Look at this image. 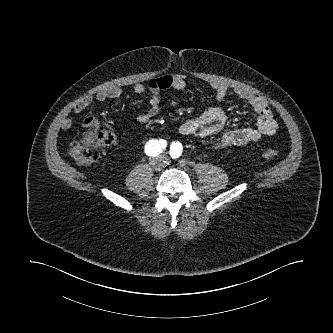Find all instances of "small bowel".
<instances>
[{
	"label": "small bowel",
	"instance_id": "obj_1",
	"mask_svg": "<svg viewBox=\"0 0 333 333\" xmlns=\"http://www.w3.org/2000/svg\"><path fill=\"white\" fill-rule=\"evenodd\" d=\"M210 86L215 91L216 99L218 101L224 100L229 91L228 87L225 84L216 82L211 83ZM185 88L186 80L181 74H166L150 79L146 85L142 83L136 84L134 86L136 94H149V107L145 112L138 115L137 120L140 123H146L160 112L161 91L168 89L183 91ZM234 92L257 115L256 128L233 129L220 137H216L225 124L226 114L221 108H210L202 114L183 122L179 127V132L185 136L198 134L203 138L212 139V147L217 151L258 141L262 136L274 135L278 130V123L274 119L266 101L258 94L245 89L236 88ZM121 95L122 91L120 88H107L98 92L95 98L91 95L81 98L73 106L72 112L80 114L93 103L94 99L98 102H104L108 99L119 98ZM81 125L90 131L99 127V121L93 116H87L82 120ZM71 126V118L66 117L62 119L61 127L63 129H68Z\"/></svg>",
	"mask_w": 333,
	"mask_h": 333
}]
</instances>
